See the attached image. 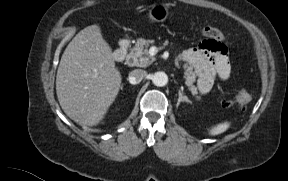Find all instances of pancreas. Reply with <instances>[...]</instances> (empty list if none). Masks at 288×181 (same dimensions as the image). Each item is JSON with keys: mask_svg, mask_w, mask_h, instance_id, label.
<instances>
[{"mask_svg": "<svg viewBox=\"0 0 288 181\" xmlns=\"http://www.w3.org/2000/svg\"><path fill=\"white\" fill-rule=\"evenodd\" d=\"M153 43V41L151 40H143L140 39L136 45V47L134 48V61H138L140 62V64L142 66H145L148 64V47L149 44ZM183 68L185 69L184 72V78H185V83L188 86L189 90L192 92L193 95L198 94L197 93V88L193 85V82L195 81V76L194 73L192 71V67L188 66L187 64L183 65ZM197 99H199V97L197 96Z\"/></svg>", "mask_w": 288, "mask_h": 181, "instance_id": "cf45deb5", "label": "pancreas"}]
</instances>
